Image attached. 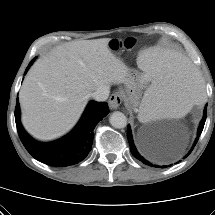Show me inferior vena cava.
Wrapping results in <instances>:
<instances>
[{"label":"inferior vena cava","instance_id":"602c4592","mask_svg":"<svg viewBox=\"0 0 215 215\" xmlns=\"http://www.w3.org/2000/svg\"><path fill=\"white\" fill-rule=\"evenodd\" d=\"M109 93H110L109 87L103 86L94 91L91 94V97L96 101H106L109 97Z\"/></svg>","mask_w":215,"mask_h":215}]
</instances>
